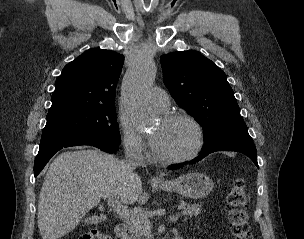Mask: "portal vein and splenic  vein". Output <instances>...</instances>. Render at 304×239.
<instances>
[{"mask_svg":"<svg viewBox=\"0 0 304 239\" xmlns=\"http://www.w3.org/2000/svg\"><path fill=\"white\" fill-rule=\"evenodd\" d=\"M107 204L110 208H112L120 217L124 218L127 221L133 222L137 220L140 216L145 215L147 213H138L132 210H129L126 206H123L115 197H109L107 199ZM180 214H175L170 217L171 222H175L179 219Z\"/></svg>","mask_w":304,"mask_h":239,"instance_id":"obj_1","label":"portal vein and splenic vein"}]
</instances>
